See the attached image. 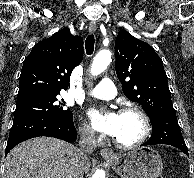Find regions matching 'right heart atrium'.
Returning a JSON list of instances; mask_svg holds the SVG:
<instances>
[{"instance_id": "obj_1", "label": "right heart atrium", "mask_w": 194, "mask_h": 178, "mask_svg": "<svg viewBox=\"0 0 194 178\" xmlns=\"http://www.w3.org/2000/svg\"><path fill=\"white\" fill-rule=\"evenodd\" d=\"M79 133H80L81 138L87 142H95L97 140V137L94 131L87 124H82L79 127Z\"/></svg>"}]
</instances>
